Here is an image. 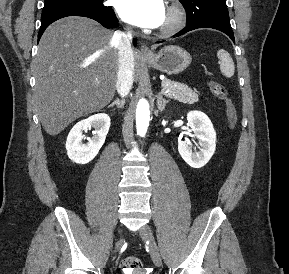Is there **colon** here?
<instances>
[{
  "label": "colon",
  "mask_w": 289,
  "mask_h": 274,
  "mask_svg": "<svg viewBox=\"0 0 289 274\" xmlns=\"http://www.w3.org/2000/svg\"><path fill=\"white\" fill-rule=\"evenodd\" d=\"M208 85L212 94L217 99L224 102L225 107H226V118H227L228 124L231 128H234L238 120V115H237V110H236L234 103L228 96L227 89L225 88L223 84L214 80L209 81ZM121 268L126 273L140 271L142 270V262L137 257L129 256L122 260Z\"/></svg>",
  "instance_id": "colon-1"
}]
</instances>
